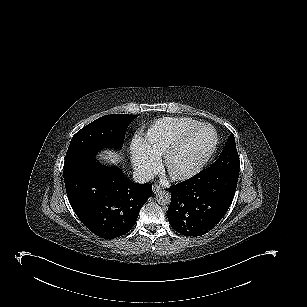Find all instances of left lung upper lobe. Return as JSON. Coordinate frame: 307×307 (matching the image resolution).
<instances>
[{
  "label": "left lung upper lobe",
  "mask_w": 307,
  "mask_h": 307,
  "mask_svg": "<svg viewBox=\"0 0 307 307\" xmlns=\"http://www.w3.org/2000/svg\"><path fill=\"white\" fill-rule=\"evenodd\" d=\"M202 171L214 173L216 175L229 174L238 177L240 171V161L233 134L230 135L228 142L219 158L213 163L212 166Z\"/></svg>",
  "instance_id": "5c2ea615"
}]
</instances>
